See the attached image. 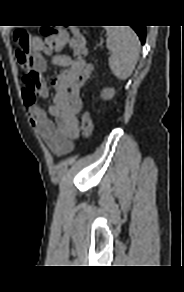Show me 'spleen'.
I'll return each mask as SVG.
<instances>
[{
  "mask_svg": "<svg viewBox=\"0 0 184 292\" xmlns=\"http://www.w3.org/2000/svg\"><path fill=\"white\" fill-rule=\"evenodd\" d=\"M107 48L111 51L109 67L120 80L128 79L138 61L140 42L130 27H107Z\"/></svg>",
  "mask_w": 184,
  "mask_h": 292,
  "instance_id": "1",
  "label": "spleen"
}]
</instances>
